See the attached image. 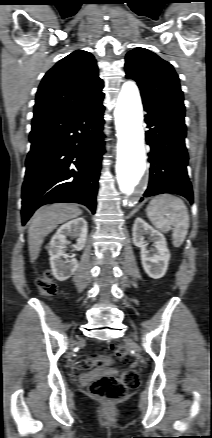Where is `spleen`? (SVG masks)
Masks as SVG:
<instances>
[{"mask_svg":"<svg viewBox=\"0 0 212 438\" xmlns=\"http://www.w3.org/2000/svg\"><path fill=\"white\" fill-rule=\"evenodd\" d=\"M146 213L152 224L166 233L171 228L172 244L180 247L188 233L189 214L183 200L171 194L155 196L146 208Z\"/></svg>","mask_w":212,"mask_h":438,"instance_id":"3e777b00","label":"spleen"}]
</instances>
